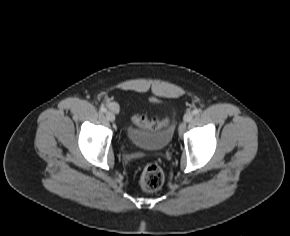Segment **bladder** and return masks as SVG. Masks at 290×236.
<instances>
[{
	"mask_svg": "<svg viewBox=\"0 0 290 236\" xmlns=\"http://www.w3.org/2000/svg\"><path fill=\"white\" fill-rule=\"evenodd\" d=\"M174 133V118L169 124L157 131L140 129L129 125L125 128L124 137L126 141L138 148L151 151L166 149L172 141Z\"/></svg>",
	"mask_w": 290,
	"mask_h": 236,
	"instance_id": "31cf9c89",
	"label": "bladder"
}]
</instances>
